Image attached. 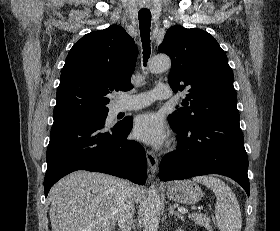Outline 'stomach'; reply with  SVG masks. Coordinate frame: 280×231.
Returning <instances> with one entry per match:
<instances>
[{"mask_svg": "<svg viewBox=\"0 0 280 231\" xmlns=\"http://www.w3.org/2000/svg\"><path fill=\"white\" fill-rule=\"evenodd\" d=\"M169 199L178 203H197L202 197V191L195 181L183 179V181H172L167 189Z\"/></svg>", "mask_w": 280, "mask_h": 231, "instance_id": "obj_1", "label": "stomach"}]
</instances>
